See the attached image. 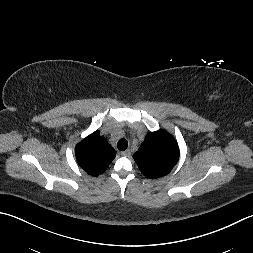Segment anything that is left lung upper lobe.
<instances>
[{
	"label": "left lung upper lobe",
	"instance_id": "obj_1",
	"mask_svg": "<svg viewBox=\"0 0 253 253\" xmlns=\"http://www.w3.org/2000/svg\"><path fill=\"white\" fill-rule=\"evenodd\" d=\"M178 159L177 142L162 130L148 133L138 151L134 153L139 169L150 179L167 175Z\"/></svg>",
	"mask_w": 253,
	"mask_h": 253
}]
</instances>
